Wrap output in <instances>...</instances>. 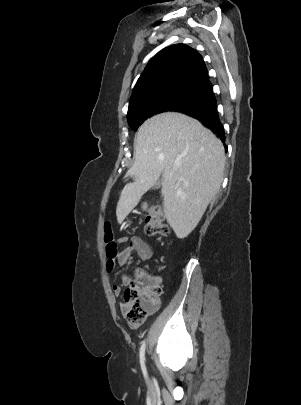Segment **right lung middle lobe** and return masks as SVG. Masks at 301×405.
Returning <instances> with one entry per match:
<instances>
[{"mask_svg": "<svg viewBox=\"0 0 301 405\" xmlns=\"http://www.w3.org/2000/svg\"><path fill=\"white\" fill-rule=\"evenodd\" d=\"M212 94L192 88L180 87L161 91L138 100L128 110L127 119L132 129L138 127L148 118L167 111H178L188 107H197L211 103Z\"/></svg>", "mask_w": 301, "mask_h": 405, "instance_id": "right-lung-middle-lobe-1", "label": "right lung middle lobe"}]
</instances>
